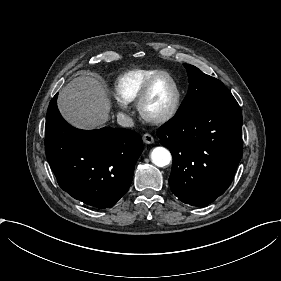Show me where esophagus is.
<instances>
[{
	"label": "esophagus",
	"instance_id": "obj_1",
	"mask_svg": "<svg viewBox=\"0 0 281 281\" xmlns=\"http://www.w3.org/2000/svg\"><path fill=\"white\" fill-rule=\"evenodd\" d=\"M142 139L146 144H153L154 143V138L152 137V135H150L148 133H145L142 136Z\"/></svg>",
	"mask_w": 281,
	"mask_h": 281
}]
</instances>
